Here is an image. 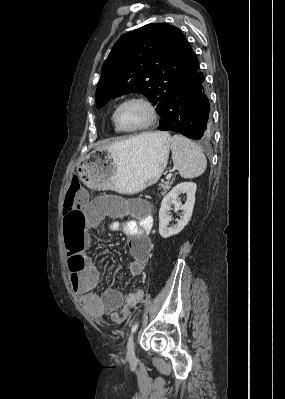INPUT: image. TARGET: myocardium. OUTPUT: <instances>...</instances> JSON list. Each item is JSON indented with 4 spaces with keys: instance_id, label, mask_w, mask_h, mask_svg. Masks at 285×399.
Masks as SVG:
<instances>
[{
    "instance_id": "f54148a6",
    "label": "myocardium",
    "mask_w": 285,
    "mask_h": 399,
    "mask_svg": "<svg viewBox=\"0 0 285 399\" xmlns=\"http://www.w3.org/2000/svg\"><path fill=\"white\" fill-rule=\"evenodd\" d=\"M131 102H140V103L144 104L149 111V119L142 125H139V126H136L133 128H124L119 122V112L124 105L131 103ZM157 117H158V113H157V109H156L154 103L151 100H149L148 98L143 97V96H133V97L127 98L126 100H124L117 106V108L114 112V115H113L115 125L122 132H139V131L146 130L156 122Z\"/></svg>"
}]
</instances>
